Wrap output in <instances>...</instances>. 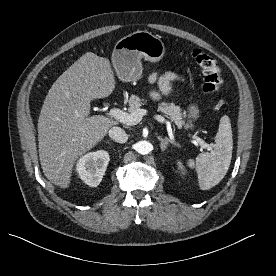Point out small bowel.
<instances>
[{
  "label": "small bowel",
  "instance_id": "small-bowel-1",
  "mask_svg": "<svg viewBox=\"0 0 276 276\" xmlns=\"http://www.w3.org/2000/svg\"><path fill=\"white\" fill-rule=\"evenodd\" d=\"M149 80L157 86L156 90L152 92V97L154 100L159 101L163 96L170 93L172 84L181 81L182 78L174 72H167L164 74L152 73Z\"/></svg>",
  "mask_w": 276,
  "mask_h": 276
}]
</instances>
